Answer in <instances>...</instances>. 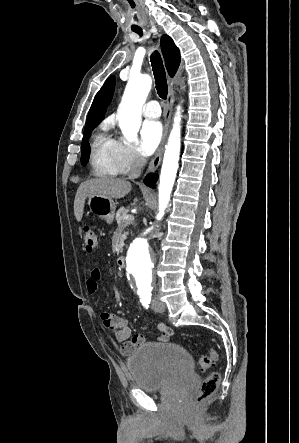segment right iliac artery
<instances>
[{"instance_id":"obj_1","label":"right iliac artery","mask_w":299,"mask_h":443,"mask_svg":"<svg viewBox=\"0 0 299 443\" xmlns=\"http://www.w3.org/2000/svg\"><path fill=\"white\" fill-rule=\"evenodd\" d=\"M141 303H142V305H143L146 309H148L149 304H150V301H149V300H143V301H141Z\"/></svg>"}]
</instances>
